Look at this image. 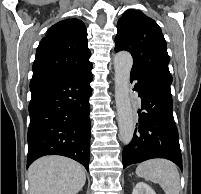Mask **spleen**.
Listing matches in <instances>:
<instances>
[{"label":"spleen","instance_id":"3e777b00","mask_svg":"<svg viewBox=\"0 0 201 194\" xmlns=\"http://www.w3.org/2000/svg\"><path fill=\"white\" fill-rule=\"evenodd\" d=\"M136 174L145 180L159 183L165 194H179L180 176L177 167L165 159H152L139 164Z\"/></svg>","mask_w":201,"mask_h":194}]
</instances>
